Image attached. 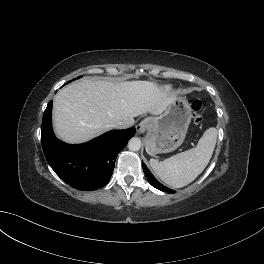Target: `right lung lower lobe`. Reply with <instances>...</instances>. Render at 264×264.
<instances>
[{
    "instance_id": "right-lung-lower-lobe-1",
    "label": "right lung lower lobe",
    "mask_w": 264,
    "mask_h": 264,
    "mask_svg": "<svg viewBox=\"0 0 264 264\" xmlns=\"http://www.w3.org/2000/svg\"><path fill=\"white\" fill-rule=\"evenodd\" d=\"M51 111L52 101L43 115L41 140L45 157L54 172L78 190L91 191L105 186L111 178L118 153L135 135V128L112 130L87 143L69 145L55 137Z\"/></svg>"
}]
</instances>
